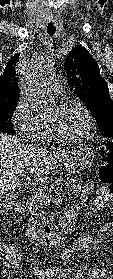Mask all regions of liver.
<instances>
[{"mask_svg": "<svg viewBox=\"0 0 113 279\" xmlns=\"http://www.w3.org/2000/svg\"><path fill=\"white\" fill-rule=\"evenodd\" d=\"M69 153L61 151L49 154L26 145L17 137L0 133V207L3 199L18 188L20 172L29 171V180L35 184L44 183L57 162L66 158Z\"/></svg>", "mask_w": 113, "mask_h": 279, "instance_id": "6515ba94", "label": "liver"}]
</instances>
